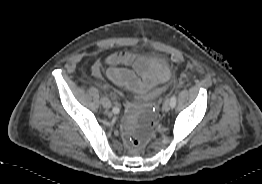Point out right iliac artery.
<instances>
[{
	"instance_id": "82829eb1",
	"label": "right iliac artery",
	"mask_w": 262,
	"mask_h": 184,
	"mask_svg": "<svg viewBox=\"0 0 262 184\" xmlns=\"http://www.w3.org/2000/svg\"><path fill=\"white\" fill-rule=\"evenodd\" d=\"M119 108L118 107H113V113H115V114H118L119 113Z\"/></svg>"
}]
</instances>
